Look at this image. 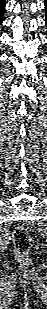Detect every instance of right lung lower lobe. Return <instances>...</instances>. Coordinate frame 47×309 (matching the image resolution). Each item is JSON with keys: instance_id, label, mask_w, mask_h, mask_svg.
Listing matches in <instances>:
<instances>
[{"instance_id": "obj_1", "label": "right lung lower lobe", "mask_w": 47, "mask_h": 309, "mask_svg": "<svg viewBox=\"0 0 47 309\" xmlns=\"http://www.w3.org/2000/svg\"><path fill=\"white\" fill-rule=\"evenodd\" d=\"M4 10H5V0H0V24L3 21Z\"/></svg>"}]
</instances>
